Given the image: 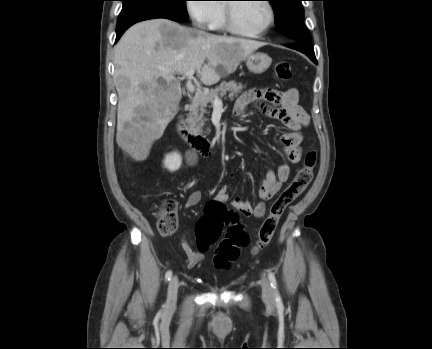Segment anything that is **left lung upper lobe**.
<instances>
[{"label": "left lung upper lobe", "instance_id": "obj_1", "mask_svg": "<svg viewBox=\"0 0 432 349\" xmlns=\"http://www.w3.org/2000/svg\"><path fill=\"white\" fill-rule=\"evenodd\" d=\"M276 14V28L294 42H311L303 24L302 0H268Z\"/></svg>", "mask_w": 432, "mask_h": 349}]
</instances>
